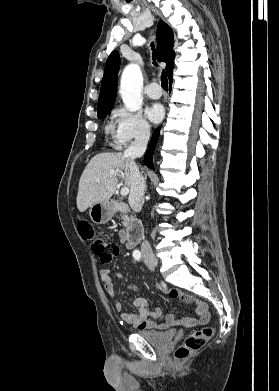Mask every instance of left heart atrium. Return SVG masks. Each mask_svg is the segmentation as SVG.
<instances>
[{
  "mask_svg": "<svg viewBox=\"0 0 279 391\" xmlns=\"http://www.w3.org/2000/svg\"><path fill=\"white\" fill-rule=\"evenodd\" d=\"M146 114L152 122L157 123L163 118L164 108L159 103H153L146 109Z\"/></svg>",
  "mask_w": 279,
  "mask_h": 391,
  "instance_id": "1",
  "label": "left heart atrium"
}]
</instances>
